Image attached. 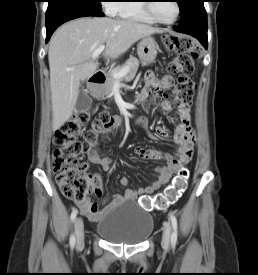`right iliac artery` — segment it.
Instances as JSON below:
<instances>
[{
    "label": "right iliac artery",
    "instance_id": "right-iliac-artery-1",
    "mask_svg": "<svg viewBox=\"0 0 258 275\" xmlns=\"http://www.w3.org/2000/svg\"><path fill=\"white\" fill-rule=\"evenodd\" d=\"M77 213H78L77 209H73V211L71 213V221L72 222L75 220V218L77 216ZM69 244L72 248L74 247V245H75V236H74V234H71Z\"/></svg>",
    "mask_w": 258,
    "mask_h": 275
}]
</instances>
